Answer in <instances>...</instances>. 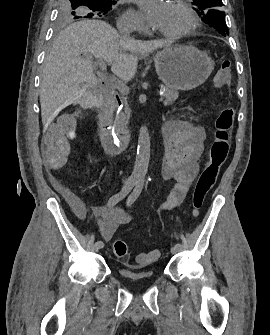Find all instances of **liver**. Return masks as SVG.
<instances>
[{"instance_id": "6515ba94", "label": "liver", "mask_w": 270, "mask_h": 335, "mask_svg": "<svg viewBox=\"0 0 270 335\" xmlns=\"http://www.w3.org/2000/svg\"><path fill=\"white\" fill-rule=\"evenodd\" d=\"M167 40H132L122 38L117 30L102 20H81L59 32L45 56L40 86L43 124H50L69 106H89L98 92L100 80L93 74L91 56L111 64L115 76L129 82L137 70L135 54L167 46Z\"/></svg>"}]
</instances>
